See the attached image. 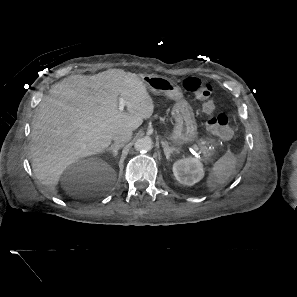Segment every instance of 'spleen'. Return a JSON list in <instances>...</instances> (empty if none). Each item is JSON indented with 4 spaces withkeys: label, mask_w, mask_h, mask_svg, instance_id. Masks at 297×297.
Listing matches in <instances>:
<instances>
[{
    "label": "spleen",
    "mask_w": 297,
    "mask_h": 297,
    "mask_svg": "<svg viewBox=\"0 0 297 297\" xmlns=\"http://www.w3.org/2000/svg\"><path fill=\"white\" fill-rule=\"evenodd\" d=\"M236 162V157L230 153H226L215 162L206 181L209 191H214L228 182L235 170Z\"/></svg>",
    "instance_id": "spleen-1"
}]
</instances>
